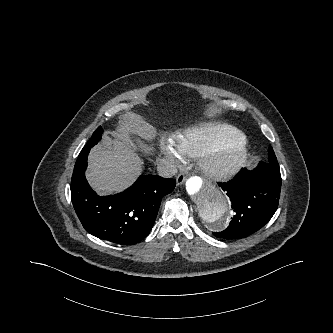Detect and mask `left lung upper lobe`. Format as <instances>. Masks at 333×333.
I'll return each mask as SVG.
<instances>
[{"label":"left lung upper lobe","instance_id":"1","mask_svg":"<svg viewBox=\"0 0 333 333\" xmlns=\"http://www.w3.org/2000/svg\"><path fill=\"white\" fill-rule=\"evenodd\" d=\"M268 157H269V162H268L269 164H271V165H273L275 167H279L273 149H269Z\"/></svg>","mask_w":333,"mask_h":333}]
</instances>
